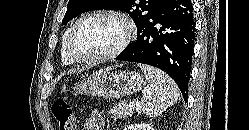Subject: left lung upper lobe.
<instances>
[{"label": "left lung upper lobe", "instance_id": "5c2ea615", "mask_svg": "<svg viewBox=\"0 0 249 130\" xmlns=\"http://www.w3.org/2000/svg\"><path fill=\"white\" fill-rule=\"evenodd\" d=\"M162 0H69L62 24L90 10H120L134 20L137 32L142 23L156 10Z\"/></svg>", "mask_w": 249, "mask_h": 130}]
</instances>
